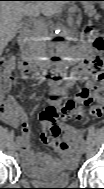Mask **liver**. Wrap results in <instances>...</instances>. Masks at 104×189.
Returning <instances> with one entry per match:
<instances>
[{"mask_svg": "<svg viewBox=\"0 0 104 189\" xmlns=\"http://www.w3.org/2000/svg\"><path fill=\"white\" fill-rule=\"evenodd\" d=\"M60 2L1 1L0 3V46L3 49L13 39L20 27L23 15L55 12Z\"/></svg>", "mask_w": 104, "mask_h": 189, "instance_id": "1", "label": "liver"}]
</instances>
